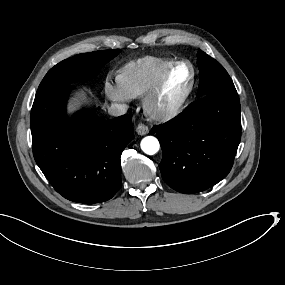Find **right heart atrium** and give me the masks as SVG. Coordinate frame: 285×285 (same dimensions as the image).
<instances>
[{"mask_svg":"<svg viewBox=\"0 0 285 285\" xmlns=\"http://www.w3.org/2000/svg\"><path fill=\"white\" fill-rule=\"evenodd\" d=\"M104 92L107 99L115 104L129 103L132 100V97L126 93L121 85L113 83L111 75L105 79Z\"/></svg>","mask_w":285,"mask_h":285,"instance_id":"d8ad5b80","label":"right heart atrium"}]
</instances>
